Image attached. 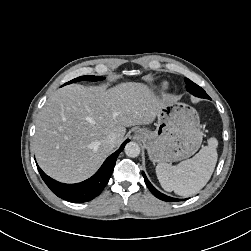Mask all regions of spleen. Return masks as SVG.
<instances>
[{
	"label": "spleen",
	"mask_w": 251,
	"mask_h": 251,
	"mask_svg": "<svg viewBox=\"0 0 251 251\" xmlns=\"http://www.w3.org/2000/svg\"><path fill=\"white\" fill-rule=\"evenodd\" d=\"M217 146V139L211 137L207 146L177 166L159 163L156 166V175L162 188L181 196L197 193L207 184L214 171L218 158Z\"/></svg>",
	"instance_id": "1"
}]
</instances>
